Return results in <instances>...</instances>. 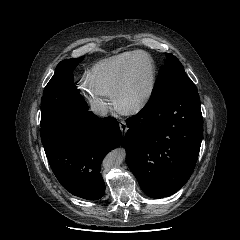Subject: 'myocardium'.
<instances>
[{
  "label": "myocardium",
  "mask_w": 240,
  "mask_h": 240,
  "mask_svg": "<svg viewBox=\"0 0 240 240\" xmlns=\"http://www.w3.org/2000/svg\"><path fill=\"white\" fill-rule=\"evenodd\" d=\"M143 69L145 68L146 71L148 72L149 76V83L147 90L143 95H141L139 98H137L135 101L131 103H124L123 102V96L126 88L128 87V81L130 74L132 70L135 68V65L133 63V60H130L125 64V66L122 68L118 79L114 85L112 94L113 97L116 101V103L121 107L122 111L124 113L130 114V113H137L139 112L150 100L153 90H154V85H155V66L153 64V61L151 58H148L146 63L141 66Z\"/></svg>",
  "instance_id": "obj_1"
}]
</instances>
